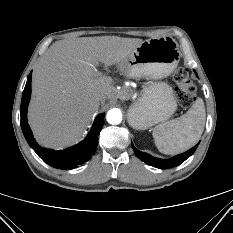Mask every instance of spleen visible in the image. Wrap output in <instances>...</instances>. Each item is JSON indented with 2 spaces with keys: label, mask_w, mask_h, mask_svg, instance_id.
<instances>
[{
  "label": "spleen",
  "mask_w": 233,
  "mask_h": 233,
  "mask_svg": "<svg viewBox=\"0 0 233 233\" xmlns=\"http://www.w3.org/2000/svg\"><path fill=\"white\" fill-rule=\"evenodd\" d=\"M206 120L205 105L198 98L179 118L159 124L153 129L156 147L164 154H177L193 147L200 139Z\"/></svg>",
  "instance_id": "3e777b00"
}]
</instances>
